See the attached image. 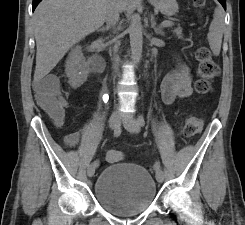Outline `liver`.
Returning <instances> with one entry per match:
<instances>
[{"mask_svg":"<svg viewBox=\"0 0 245 225\" xmlns=\"http://www.w3.org/2000/svg\"><path fill=\"white\" fill-rule=\"evenodd\" d=\"M109 0H43L34 12L37 46L34 81L46 76L67 51L105 22ZM120 11L128 0H117Z\"/></svg>","mask_w":245,"mask_h":225,"instance_id":"6515ba94","label":"liver"}]
</instances>
